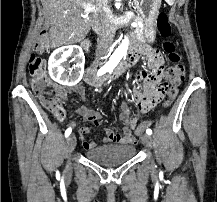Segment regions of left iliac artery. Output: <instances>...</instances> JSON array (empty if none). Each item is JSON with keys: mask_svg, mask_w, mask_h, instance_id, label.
<instances>
[{"mask_svg": "<svg viewBox=\"0 0 217 202\" xmlns=\"http://www.w3.org/2000/svg\"><path fill=\"white\" fill-rule=\"evenodd\" d=\"M146 133H147L148 135H151V134H152V130H151V129H147V130H146Z\"/></svg>", "mask_w": 217, "mask_h": 202, "instance_id": "1", "label": "left iliac artery"}]
</instances>
